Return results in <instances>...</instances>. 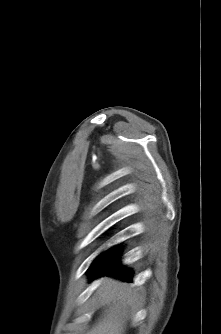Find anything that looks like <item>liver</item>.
Here are the masks:
<instances>
[{"mask_svg":"<svg viewBox=\"0 0 221 334\" xmlns=\"http://www.w3.org/2000/svg\"><path fill=\"white\" fill-rule=\"evenodd\" d=\"M99 293L103 305L108 309L103 317L86 334H123L126 327L129 307L133 308L137 299L126 283L106 278Z\"/></svg>","mask_w":221,"mask_h":334,"instance_id":"1","label":"liver"}]
</instances>
